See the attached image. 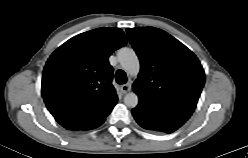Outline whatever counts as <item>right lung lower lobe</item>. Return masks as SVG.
Segmentation results:
<instances>
[{"mask_svg":"<svg viewBox=\"0 0 248 158\" xmlns=\"http://www.w3.org/2000/svg\"><path fill=\"white\" fill-rule=\"evenodd\" d=\"M105 118H106V117H104L103 119H101V120H99V121L93 123L92 125H90V126L84 128V129H81V130H89V129L97 128L98 126H100V125L105 121Z\"/></svg>","mask_w":248,"mask_h":158,"instance_id":"obj_1","label":"right lung lower lobe"}]
</instances>
